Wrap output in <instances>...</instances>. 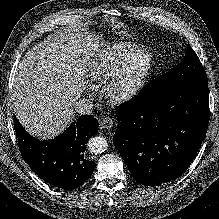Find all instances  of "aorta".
<instances>
[{
	"label": "aorta",
	"instance_id": "aorta-1",
	"mask_svg": "<svg viewBox=\"0 0 219 219\" xmlns=\"http://www.w3.org/2000/svg\"><path fill=\"white\" fill-rule=\"evenodd\" d=\"M87 147L92 154H100L107 150L108 143L104 137H91L87 143Z\"/></svg>",
	"mask_w": 219,
	"mask_h": 219
}]
</instances>
